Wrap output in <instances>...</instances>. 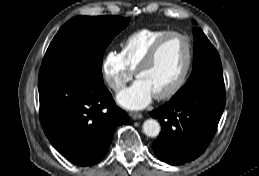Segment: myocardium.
I'll return each instance as SVG.
<instances>
[{
  "label": "myocardium",
  "mask_w": 259,
  "mask_h": 176,
  "mask_svg": "<svg viewBox=\"0 0 259 176\" xmlns=\"http://www.w3.org/2000/svg\"><path fill=\"white\" fill-rule=\"evenodd\" d=\"M172 36H179L186 41V45H187L186 62L181 74L176 79V81L166 91L160 94L154 95V97L157 100H165L173 97L182 88L184 82L186 81L193 61V44L189 36L178 31H169L165 33L153 44V46L150 48V50L143 58V60L140 62V64L138 65L135 71V75L138 78L139 74L145 69H147L154 62L163 43Z\"/></svg>",
  "instance_id": "myocardium-1"
}]
</instances>
